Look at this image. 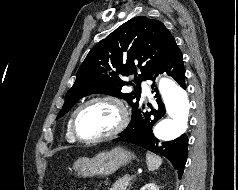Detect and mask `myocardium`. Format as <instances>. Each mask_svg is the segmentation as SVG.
<instances>
[{"label": "myocardium", "mask_w": 238, "mask_h": 190, "mask_svg": "<svg viewBox=\"0 0 238 190\" xmlns=\"http://www.w3.org/2000/svg\"><path fill=\"white\" fill-rule=\"evenodd\" d=\"M98 102L109 103L116 108L119 115L118 123L111 131H109L106 134L96 136V137H83L79 134L77 130V126H76L78 115L85 107L93 103H98ZM129 121H130V112L126 104L120 98L113 95H101V96H95L86 100L85 102H83L76 108V110L74 111L71 117L70 129H71L72 135L78 141L84 142V143H96V142H101V141L109 140L116 137L127 127V125L129 124Z\"/></svg>", "instance_id": "f54148a6"}]
</instances>
